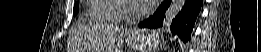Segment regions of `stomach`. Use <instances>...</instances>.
<instances>
[{
    "instance_id": "stomach-1",
    "label": "stomach",
    "mask_w": 261,
    "mask_h": 52,
    "mask_svg": "<svg viewBox=\"0 0 261 52\" xmlns=\"http://www.w3.org/2000/svg\"><path fill=\"white\" fill-rule=\"evenodd\" d=\"M160 42L157 31L141 30L127 37L128 46L134 52H151Z\"/></svg>"
}]
</instances>
